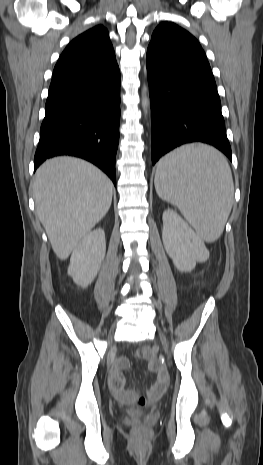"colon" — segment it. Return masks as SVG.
Returning <instances> with one entry per match:
<instances>
[{
    "mask_svg": "<svg viewBox=\"0 0 263 465\" xmlns=\"http://www.w3.org/2000/svg\"><path fill=\"white\" fill-rule=\"evenodd\" d=\"M156 396H158V395H157V394L153 395V397H156ZM138 404L141 405V406H143V405L146 404V400L143 399V398H140V399L138 400Z\"/></svg>",
    "mask_w": 263,
    "mask_h": 465,
    "instance_id": "1",
    "label": "colon"
}]
</instances>
